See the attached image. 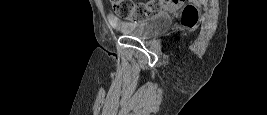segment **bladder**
I'll return each instance as SVG.
<instances>
[{"instance_id":"1","label":"bladder","mask_w":267,"mask_h":115,"mask_svg":"<svg viewBox=\"0 0 267 115\" xmlns=\"http://www.w3.org/2000/svg\"><path fill=\"white\" fill-rule=\"evenodd\" d=\"M173 18L167 13H159L150 16L148 19L135 24L117 25L116 28L123 34L138 38L150 39L154 38L172 25Z\"/></svg>"}]
</instances>
